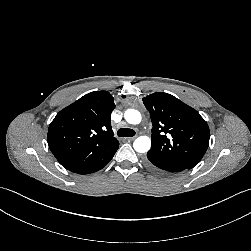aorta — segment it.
Returning <instances> with one entry per match:
<instances>
[{"label": "aorta", "mask_w": 251, "mask_h": 251, "mask_svg": "<svg viewBox=\"0 0 251 251\" xmlns=\"http://www.w3.org/2000/svg\"><path fill=\"white\" fill-rule=\"evenodd\" d=\"M125 120L133 125L141 122L142 116L139 111L135 109H128L124 113ZM134 150L138 153H146L151 147V140L148 136H140L135 139L133 143Z\"/></svg>", "instance_id": "aorta-1"}]
</instances>
